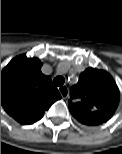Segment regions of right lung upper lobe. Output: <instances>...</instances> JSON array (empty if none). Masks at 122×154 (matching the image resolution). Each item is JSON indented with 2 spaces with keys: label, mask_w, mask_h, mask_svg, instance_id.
I'll return each instance as SVG.
<instances>
[{
  "label": "right lung upper lobe",
  "mask_w": 122,
  "mask_h": 154,
  "mask_svg": "<svg viewBox=\"0 0 122 154\" xmlns=\"http://www.w3.org/2000/svg\"><path fill=\"white\" fill-rule=\"evenodd\" d=\"M38 58L20 55L1 72V104L21 124L41 119L45 110L61 98L49 76L41 72Z\"/></svg>",
  "instance_id": "cb5924a9"
}]
</instances>
